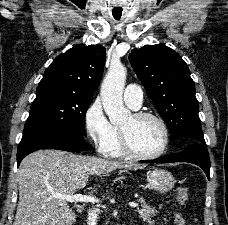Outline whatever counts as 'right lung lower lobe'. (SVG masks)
I'll list each match as a JSON object with an SVG mask.
<instances>
[{
	"label": "right lung lower lobe",
	"instance_id": "obj_1",
	"mask_svg": "<svg viewBox=\"0 0 228 225\" xmlns=\"http://www.w3.org/2000/svg\"><path fill=\"white\" fill-rule=\"evenodd\" d=\"M40 149H57L63 151H87L89 149L84 136L56 126H36L24 129L18 146L17 164L31 152Z\"/></svg>",
	"mask_w": 228,
	"mask_h": 225
}]
</instances>
